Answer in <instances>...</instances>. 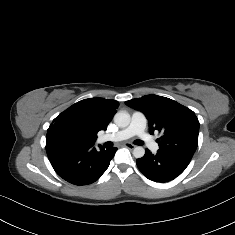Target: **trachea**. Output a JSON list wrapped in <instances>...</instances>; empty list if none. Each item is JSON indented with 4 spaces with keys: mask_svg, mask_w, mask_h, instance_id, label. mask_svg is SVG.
Segmentation results:
<instances>
[{
    "mask_svg": "<svg viewBox=\"0 0 235 235\" xmlns=\"http://www.w3.org/2000/svg\"><path fill=\"white\" fill-rule=\"evenodd\" d=\"M134 143L137 144V145H142L143 144V142L141 140H136V141H134Z\"/></svg>",
    "mask_w": 235,
    "mask_h": 235,
    "instance_id": "3493384b",
    "label": "trachea"
}]
</instances>
